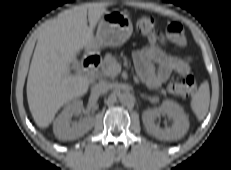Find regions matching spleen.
Wrapping results in <instances>:
<instances>
[{"instance_id":"3e777b00","label":"spleen","mask_w":231,"mask_h":170,"mask_svg":"<svg viewBox=\"0 0 231 170\" xmlns=\"http://www.w3.org/2000/svg\"><path fill=\"white\" fill-rule=\"evenodd\" d=\"M210 102V90L209 83L203 82L198 92L192 97L190 106L198 120L204 119L208 112Z\"/></svg>"}]
</instances>
